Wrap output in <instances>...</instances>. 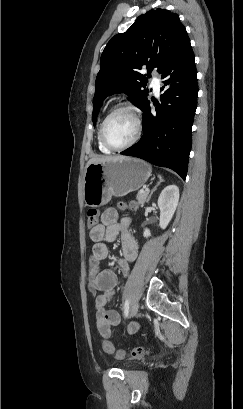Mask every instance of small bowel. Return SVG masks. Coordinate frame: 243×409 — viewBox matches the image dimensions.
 Returning a JSON list of instances; mask_svg holds the SVG:
<instances>
[{"mask_svg":"<svg viewBox=\"0 0 243 409\" xmlns=\"http://www.w3.org/2000/svg\"><path fill=\"white\" fill-rule=\"evenodd\" d=\"M131 219L124 217L118 220V212L107 208L101 215V223L90 229L89 236L93 241L92 257L90 259V288L100 292L95 298L96 325L99 334L104 338L111 336L112 327L120 323V315L115 309H107V305L116 299L117 277L113 270H99L101 261L110 257L107 243L118 236L122 239V256L115 260L124 274L128 264L133 262L138 254V245L129 228Z\"/></svg>","mask_w":243,"mask_h":409,"instance_id":"small-bowel-1","label":"small bowel"}]
</instances>
